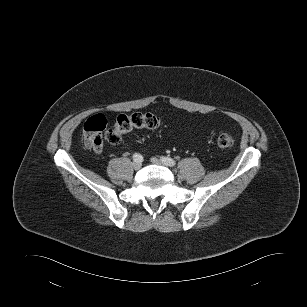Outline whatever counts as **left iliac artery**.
<instances>
[{"mask_svg": "<svg viewBox=\"0 0 307 307\" xmlns=\"http://www.w3.org/2000/svg\"><path fill=\"white\" fill-rule=\"evenodd\" d=\"M161 161L167 166H175L176 161L169 157H161Z\"/></svg>", "mask_w": 307, "mask_h": 307, "instance_id": "1", "label": "left iliac artery"}]
</instances>
